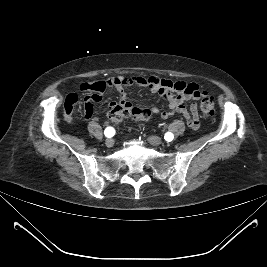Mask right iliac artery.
I'll use <instances>...</instances> for the list:
<instances>
[{"label": "right iliac artery", "mask_w": 267, "mask_h": 267, "mask_svg": "<svg viewBox=\"0 0 267 267\" xmlns=\"http://www.w3.org/2000/svg\"><path fill=\"white\" fill-rule=\"evenodd\" d=\"M104 134L110 138L115 134V130L112 127H107L104 131Z\"/></svg>", "instance_id": "1"}]
</instances>
